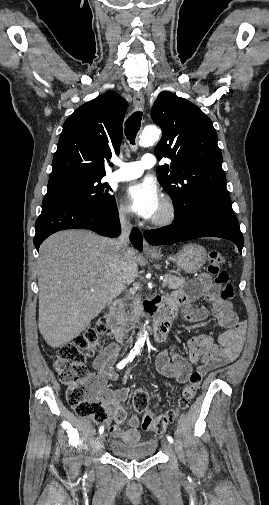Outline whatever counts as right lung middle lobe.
I'll return each instance as SVG.
<instances>
[{
  "instance_id": "right-lung-middle-lobe-1",
  "label": "right lung middle lobe",
  "mask_w": 269,
  "mask_h": 505,
  "mask_svg": "<svg viewBox=\"0 0 269 505\" xmlns=\"http://www.w3.org/2000/svg\"><path fill=\"white\" fill-rule=\"evenodd\" d=\"M101 179L80 181L48 189L42 205L61 201H72L90 206L98 211H106L115 204V197L109 193L110 186Z\"/></svg>"
}]
</instances>
